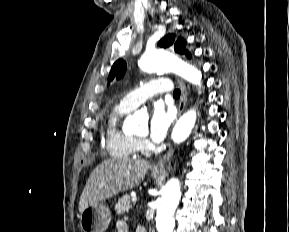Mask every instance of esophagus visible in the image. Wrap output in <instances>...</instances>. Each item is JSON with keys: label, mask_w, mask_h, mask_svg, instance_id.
I'll use <instances>...</instances> for the list:
<instances>
[{"label": "esophagus", "mask_w": 289, "mask_h": 232, "mask_svg": "<svg viewBox=\"0 0 289 232\" xmlns=\"http://www.w3.org/2000/svg\"><path fill=\"white\" fill-rule=\"evenodd\" d=\"M181 89V97L178 105V116H180L187 103L188 93L187 88L182 80H178ZM173 148L170 146L167 152L153 165L154 170L164 169L165 164L171 159Z\"/></svg>", "instance_id": "obj_1"}]
</instances>
